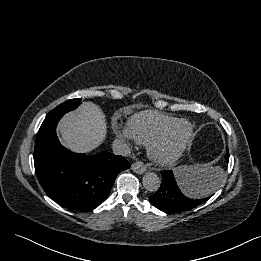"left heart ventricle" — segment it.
<instances>
[{
	"instance_id": "1",
	"label": "left heart ventricle",
	"mask_w": 261,
	"mask_h": 261,
	"mask_svg": "<svg viewBox=\"0 0 261 261\" xmlns=\"http://www.w3.org/2000/svg\"><path fill=\"white\" fill-rule=\"evenodd\" d=\"M188 130L189 128L187 125H180L171 135L167 143L164 145L163 150L167 152L178 146L185 139Z\"/></svg>"
}]
</instances>
